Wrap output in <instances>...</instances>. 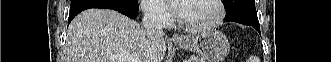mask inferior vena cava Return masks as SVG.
Segmentation results:
<instances>
[{
    "mask_svg": "<svg viewBox=\"0 0 331 62\" xmlns=\"http://www.w3.org/2000/svg\"><path fill=\"white\" fill-rule=\"evenodd\" d=\"M163 10L159 6L148 5L144 9L142 25L148 34L152 36H163Z\"/></svg>",
    "mask_w": 331,
    "mask_h": 62,
    "instance_id": "inferior-vena-cava-1",
    "label": "inferior vena cava"
}]
</instances>
